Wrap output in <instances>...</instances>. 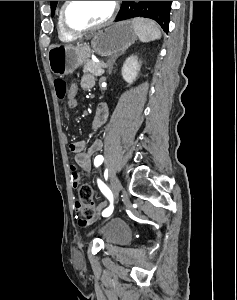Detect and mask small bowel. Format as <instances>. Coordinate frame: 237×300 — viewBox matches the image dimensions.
Segmentation results:
<instances>
[{"label":"small bowel","mask_w":237,"mask_h":300,"mask_svg":"<svg viewBox=\"0 0 237 300\" xmlns=\"http://www.w3.org/2000/svg\"><path fill=\"white\" fill-rule=\"evenodd\" d=\"M94 78L90 74L83 75L81 79V86L84 89H91L94 86ZM78 92L77 85L73 84L69 88V94L71 96H76ZM109 116V109L108 106L104 103H101L96 111L95 115L92 121V129L94 132H98L104 124L107 122ZM103 143L101 139L95 138L88 149L86 150V142L81 141H75L69 145V150L74 154V160L75 162L71 164L70 169L72 171V185L73 187H76V185L79 183V174L83 173L85 175H89L92 163L91 158L93 155L98 153L102 149ZM104 207V203H101L98 206V209H102ZM76 211H79L81 209L80 205L76 203L75 205ZM94 220L93 218H81L79 221V225L81 227H85L89 223H91Z\"/></svg>","instance_id":"obj_1"}]
</instances>
